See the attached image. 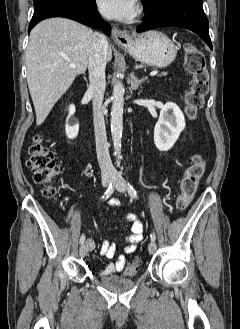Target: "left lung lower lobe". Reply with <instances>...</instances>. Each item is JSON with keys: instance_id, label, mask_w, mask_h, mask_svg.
<instances>
[{"instance_id": "obj_1", "label": "left lung lower lobe", "mask_w": 240, "mask_h": 329, "mask_svg": "<svg viewBox=\"0 0 240 329\" xmlns=\"http://www.w3.org/2000/svg\"><path fill=\"white\" fill-rule=\"evenodd\" d=\"M203 0H166L157 7L144 4V21L137 32L159 27L178 26L197 33L212 49L208 19L203 12Z\"/></svg>"}]
</instances>
